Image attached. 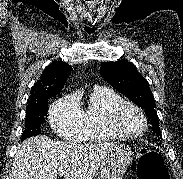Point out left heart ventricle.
Listing matches in <instances>:
<instances>
[{"label":"left heart ventricle","mask_w":183,"mask_h":179,"mask_svg":"<svg viewBox=\"0 0 183 179\" xmlns=\"http://www.w3.org/2000/svg\"><path fill=\"white\" fill-rule=\"evenodd\" d=\"M142 125L139 113L132 108H126L119 118V126L126 133H136L141 130Z\"/></svg>","instance_id":"obj_1"}]
</instances>
